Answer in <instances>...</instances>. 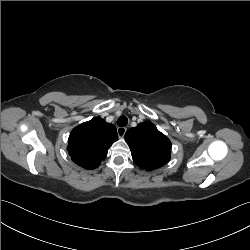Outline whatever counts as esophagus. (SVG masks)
Listing matches in <instances>:
<instances>
[{
  "instance_id": "esophagus-1",
  "label": "esophagus",
  "mask_w": 250,
  "mask_h": 250,
  "mask_svg": "<svg viewBox=\"0 0 250 250\" xmlns=\"http://www.w3.org/2000/svg\"><path fill=\"white\" fill-rule=\"evenodd\" d=\"M126 131H127L126 127H118L117 128V134L119 137H124Z\"/></svg>"
}]
</instances>
